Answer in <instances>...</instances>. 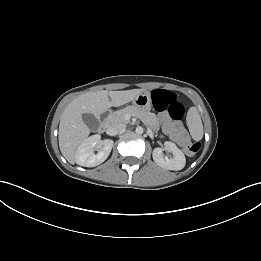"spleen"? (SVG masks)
<instances>
[{
    "label": "spleen",
    "mask_w": 261,
    "mask_h": 261,
    "mask_svg": "<svg viewBox=\"0 0 261 261\" xmlns=\"http://www.w3.org/2000/svg\"><path fill=\"white\" fill-rule=\"evenodd\" d=\"M192 137L195 140H200L203 137V126L201 119L197 113L193 114L192 117Z\"/></svg>",
    "instance_id": "3e777b00"
}]
</instances>
